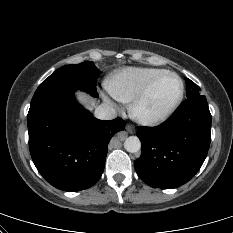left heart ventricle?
<instances>
[{"label":"left heart ventricle","mask_w":233,"mask_h":233,"mask_svg":"<svg viewBox=\"0 0 233 233\" xmlns=\"http://www.w3.org/2000/svg\"><path fill=\"white\" fill-rule=\"evenodd\" d=\"M179 83L174 76L165 75L153 86L140 106L141 114L155 116L164 111L177 97Z\"/></svg>","instance_id":"left-heart-ventricle-1"}]
</instances>
